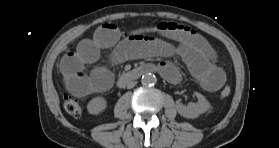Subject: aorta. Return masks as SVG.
<instances>
[{"mask_svg":"<svg viewBox=\"0 0 279 148\" xmlns=\"http://www.w3.org/2000/svg\"><path fill=\"white\" fill-rule=\"evenodd\" d=\"M157 81V78L152 73H146L142 76L141 82L144 85H154Z\"/></svg>","mask_w":279,"mask_h":148,"instance_id":"1","label":"aorta"}]
</instances>
